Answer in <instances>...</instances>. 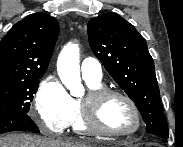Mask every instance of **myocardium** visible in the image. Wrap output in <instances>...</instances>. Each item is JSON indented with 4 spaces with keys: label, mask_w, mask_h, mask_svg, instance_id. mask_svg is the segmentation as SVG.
Wrapping results in <instances>:
<instances>
[{
    "label": "myocardium",
    "mask_w": 183,
    "mask_h": 147,
    "mask_svg": "<svg viewBox=\"0 0 183 147\" xmlns=\"http://www.w3.org/2000/svg\"><path fill=\"white\" fill-rule=\"evenodd\" d=\"M120 97L124 99L131 107L133 114L136 118V127L130 132H119L107 128L102 123L99 115V109L102 102L110 97ZM83 117L87 127L94 133L103 134L113 137H133L136 136L143 127L142 116L137 104L126 93L109 88H100L91 90L85 99L82 100Z\"/></svg>",
    "instance_id": "f54148a6"
}]
</instances>
